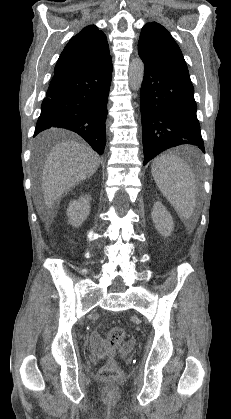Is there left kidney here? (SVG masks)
Here are the masks:
<instances>
[{
  "mask_svg": "<svg viewBox=\"0 0 231 419\" xmlns=\"http://www.w3.org/2000/svg\"><path fill=\"white\" fill-rule=\"evenodd\" d=\"M151 216L156 230L162 236H169L174 230V222L172 216L162 203L156 202L154 204Z\"/></svg>",
  "mask_w": 231,
  "mask_h": 419,
  "instance_id": "left-kidney-1",
  "label": "left kidney"
}]
</instances>
